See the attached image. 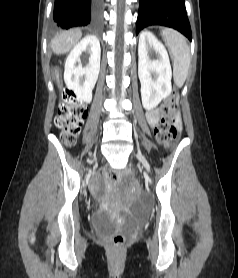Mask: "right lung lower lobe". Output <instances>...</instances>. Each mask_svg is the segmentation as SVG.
<instances>
[{
  "mask_svg": "<svg viewBox=\"0 0 238 278\" xmlns=\"http://www.w3.org/2000/svg\"><path fill=\"white\" fill-rule=\"evenodd\" d=\"M101 4L102 0H55L54 21L62 29L96 25Z\"/></svg>",
  "mask_w": 238,
  "mask_h": 278,
  "instance_id": "98d812e1",
  "label": "right lung lower lobe"
}]
</instances>
